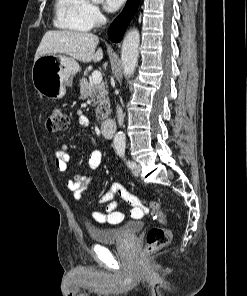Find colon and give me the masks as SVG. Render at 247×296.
Masks as SVG:
<instances>
[{
    "label": "colon",
    "instance_id": "5ec220e1",
    "mask_svg": "<svg viewBox=\"0 0 247 296\" xmlns=\"http://www.w3.org/2000/svg\"><path fill=\"white\" fill-rule=\"evenodd\" d=\"M68 118L64 114L60 107H53L49 111V115L46 122V127L49 132H60L68 127ZM134 203L140 207H144L152 210L160 223L161 226L152 227L146 235V248L147 254L154 253L168 245L171 239V230L166 226V217L161 210V205L157 201H145L137 199ZM134 217H139L141 211H135Z\"/></svg>",
    "mask_w": 247,
    "mask_h": 296
}]
</instances>
